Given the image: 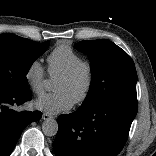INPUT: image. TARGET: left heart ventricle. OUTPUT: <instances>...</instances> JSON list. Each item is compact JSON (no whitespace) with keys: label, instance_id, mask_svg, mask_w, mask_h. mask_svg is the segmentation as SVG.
I'll use <instances>...</instances> for the list:
<instances>
[{"label":"left heart ventricle","instance_id":"left-heart-ventricle-1","mask_svg":"<svg viewBox=\"0 0 156 156\" xmlns=\"http://www.w3.org/2000/svg\"><path fill=\"white\" fill-rule=\"evenodd\" d=\"M84 83L85 77L83 74L71 81L58 78L54 85V91L63 92L74 101L81 93Z\"/></svg>","mask_w":156,"mask_h":156}]
</instances>
